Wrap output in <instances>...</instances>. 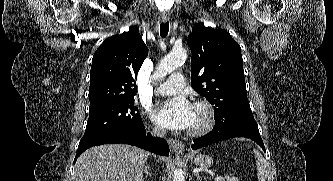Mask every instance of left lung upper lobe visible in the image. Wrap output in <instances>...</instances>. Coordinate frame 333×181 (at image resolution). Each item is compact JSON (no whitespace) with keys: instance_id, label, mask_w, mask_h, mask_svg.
I'll return each instance as SVG.
<instances>
[{"instance_id":"obj_1","label":"left lung upper lobe","mask_w":333,"mask_h":181,"mask_svg":"<svg viewBox=\"0 0 333 181\" xmlns=\"http://www.w3.org/2000/svg\"><path fill=\"white\" fill-rule=\"evenodd\" d=\"M188 45L193 89L215 105V116H228L237 131L260 135L247 98L239 44L225 30L197 24Z\"/></svg>"}]
</instances>
